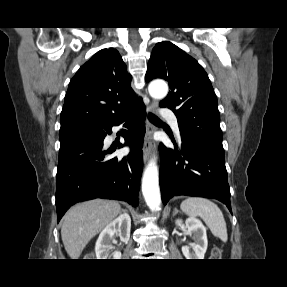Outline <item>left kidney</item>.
Returning <instances> with one entry per match:
<instances>
[{"mask_svg":"<svg viewBox=\"0 0 287 287\" xmlns=\"http://www.w3.org/2000/svg\"><path fill=\"white\" fill-rule=\"evenodd\" d=\"M175 223L176 225H182L183 222L181 219H177ZM185 225L188 233L193 235L194 243L191 247H182L183 255L186 257V259H204L208 246L206 228L202 222L195 217L187 218Z\"/></svg>","mask_w":287,"mask_h":287,"instance_id":"5707ae66","label":"left kidney"}]
</instances>
